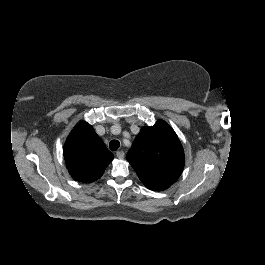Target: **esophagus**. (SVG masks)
Masks as SVG:
<instances>
[{
    "label": "esophagus",
    "instance_id": "obj_1",
    "mask_svg": "<svg viewBox=\"0 0 265 265\" xmlns=\"http://www.w3.org/2000/svg\"><path fill=\"white\" fill-rule=\"evenodd\" d=\"M124 155H125L124 151H118L116 153V156H117L118 159H123Z\"/></svg>",
    "mask_w": 265,
    "mask_h": 265
}]
</instances>
